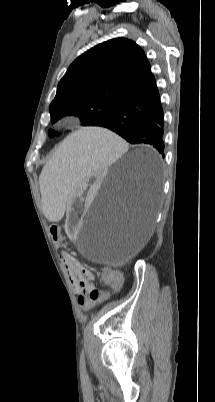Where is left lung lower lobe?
Wrapping results in <instances>:
<instances>
[{
  "instance_id": "0a47b994",
  "label": "left lung lower lobe",
  "mask_w": 215,
  "mask_h": 402,
  "mask_svg": "<svg viewBox=\"0 0 215 402\" xmlns=\"http://www.w3.org/2000/svg\"><path fill=\"white\" fill-rule=\"evenodd\" d=\"M163 110L156 81L151 73L128 99L96 126L108 128L131 144H150L164 157ZM156 188L146 197L152 208Z\"/></svg>"
}]
</instances>
